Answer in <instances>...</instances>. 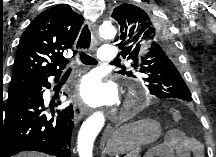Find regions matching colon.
<instances>
[{
  "label": "colon",
  "mask_w": 216,
  "mask_h": 157,
  "mask_svg": "<svg viewBox=\"0 0 216 157\" xmlns=\"http://www.w3.org/2000/svg\"><path fill=\"white\" fill-rule=\"evenodd\" d=\"M171 115L175 122H179L182 119V114L178 109H172Z\"/></svg>",
  "instance_id": "5ec220e1"
}]
</instances>
